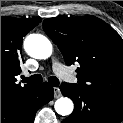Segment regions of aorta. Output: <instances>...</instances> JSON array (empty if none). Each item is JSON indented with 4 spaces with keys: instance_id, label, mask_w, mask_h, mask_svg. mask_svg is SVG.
<instances>
[{
    "instance_id": "1",
    "label": "aorta",
    "mask_w": 123,
    "mask_h": 123,
    "mask_svg": "<svg viewBox=\"0 0 123 123\" xmlns=\"http://www.w3.org/2000/svg\"><path fill=\"white\" fill-rule=\"evenodd\" d=\"M24 49L28 55L36 59H47L51 56L53 47L50 40L41 34H30L24 40ZM55 110L62 116H68L74 109L70 98L61 97L55 102Z\"/></svg>"
}]
</instances>
